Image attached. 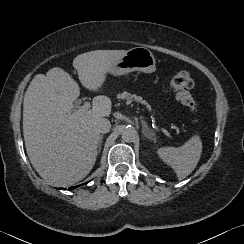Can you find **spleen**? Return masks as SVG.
Here are the masks:
<instances>
[{
	"label": "spleen",
	"mask_w": 244,
	"mask_h": 244,
	"mask_svg": "<svg viewBox=\"0 0 244 244\" xmlns=\"http://www.w3.org/2000/svg\"><path fill=\"white\" fill-rule=\"evenodd\" d=\"M202 153V141L198 131L181 147H161L158 157L170 165L179 180L186 178L196 167Z\"/></svg>",
	"instance_id": "spleen-1"
}]
</instances>
